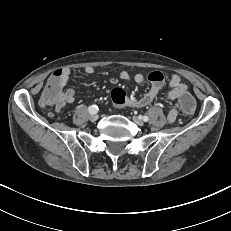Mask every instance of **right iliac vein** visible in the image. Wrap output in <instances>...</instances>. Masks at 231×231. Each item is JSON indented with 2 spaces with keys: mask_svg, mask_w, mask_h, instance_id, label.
Listing matches in <instances>:
<instances>
[{
  "mask_svg": "<svg viewBox=\"0 0 231 231\" xmlns=\"http://www.w3.org/2000/svg\"><path fill=\"white\" fill-rule=\"evenodd\" d=\"M89 119H90V121L95 122L98 119V115L97 114H90Z\"/></svg>",
  "mask_w": 231,
  "mask_h": 231,
  "instance_id": "right-iliac-vein-1",
  "label": "right iliac vein"
}]
</instances>
